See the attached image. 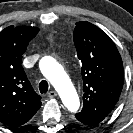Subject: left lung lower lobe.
<instances>
[{
	"instance_id": "0a47b994",
	"label": "left lung lower lobe",
	"mask_w": 133,
	"mask_h": 133,
	"mask_svg": "<svg viewBox=\"0 0 133 133\" xmlns=\"http://www.w3.org/2000/svg\"><path fill=\"white\" fill-rule=\"evenodd\" d=\"M75 117L77 118L79 122L85 125H88V126H95L102 121L101 119L93 118V117L84 115L82 113H77Z\"/></svg>"
}]
</instances>
